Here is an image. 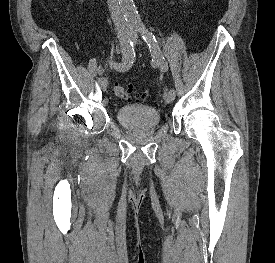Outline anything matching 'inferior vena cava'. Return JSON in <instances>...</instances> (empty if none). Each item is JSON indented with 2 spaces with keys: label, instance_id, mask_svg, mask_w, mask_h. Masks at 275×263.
I'll list each match as a JSON object with an SVG mask.
<instances>
[{
  "label": "inferior vena cava",
  "instance_id": "1",
  "mask_svg": "<svg viewBox=\"0 0 275 263\" xmlns=\"http://www.w3.org/2000/svg\"><path fill=\"white\" fill-rule=\"evenodd\" d=\"M107 3L116 30L119 34L127 33L129 31V27L126 23L125 17L123 16L120 6L118 5V0H107Z\"/></svg>",
  "mask_w": 275,
  "mask_h": 263
}]
</instances>
